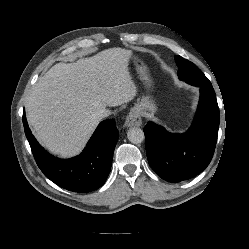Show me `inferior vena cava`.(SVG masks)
I'll return each instance as SVG.
<instances>
[{
    "label": "inferior vena cava",
    "mask_w": 249,
    "mask_h": 249,
    "mask_svg": "<svg viewBox=\"0 0 249 249\" xmlns=\"http://www.w3.org/2000/svg\"><path fill=\"white\" fill-rule=\"evenodd\" d=\"M110 113H111V112H110L109 110L103 109V110H101V111H99V112L97 113L96 117H97L98 119H102V118L107 117Z\"/></svg>",
    "instance_id": "obj_1"
}]
</instances>
